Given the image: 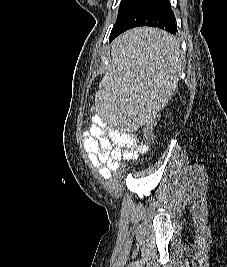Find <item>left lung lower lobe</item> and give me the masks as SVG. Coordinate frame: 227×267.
Returning <instances> with one entry per match:
<instances>
[{"label": "left lung lower lobe", "mask_w": 227, "mask_h": 267, "mask_svg": "<svg viewBox=\"0 0 227 267\" xmlns=\"http://www.w3.org/2000/svg\"><path fill=\"white\" fill-rule=\"evenodd\" d=\"M138 26L158 27L173 35L176 34L178 32L176 20L169 0H127L119 7L109 41ZM153 43L147 39L138 40L134 47L142 50Z\"/></svg>", "instance_id": "left-lung-lower-lobe-1"}]
</instances>
